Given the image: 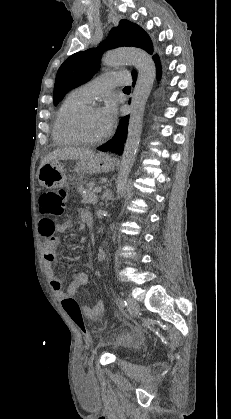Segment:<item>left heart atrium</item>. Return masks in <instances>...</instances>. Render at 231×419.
<instances>
[{
  "label": "left heart atrium",
  "instance_id": "obj_1",
  "mask_svg": "<svg viewBox=\"0 0 231 419\" xmlns=\"http://www.w3.org/2000/svg\"><path fill=\"white\" fill-rule=\"evenodd\" d=\"M116 114V104L112 99L107 100L104 106L99 110V115L106 132H109L114 126Z\"/></svg>",
  "mask_w": 231,
  "mask_h": 419
}]
</instances>
